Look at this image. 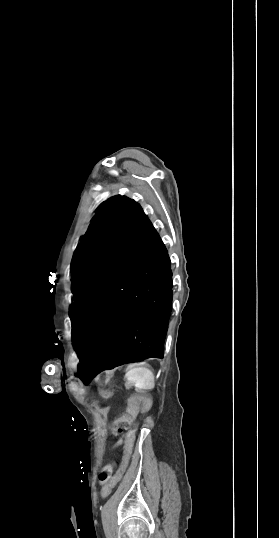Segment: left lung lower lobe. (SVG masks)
I'll return each instance as SVG.
<instances>
[{
  "instance_id": "left-lung-lower-lobe-1",
  "label": "left lung lower lobe",
  "mask_w": 279,
  "mask_h": 538,
  "mask_svg": "<svg viewBox=\"0 0 279 538\" xmlns=\"http://www.w3.org/2000/svg\"><path fill=\"white\" fill-rule=\"evenodd\" d=\"M167 250L152 227L72 330L85 382L131 358H163L172 307Z\"/></svg>"
}]
</instances>
